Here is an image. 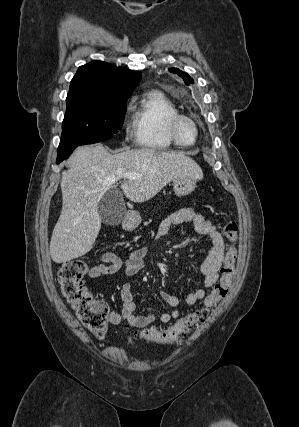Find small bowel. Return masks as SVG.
Returning <instances> with one entry per match:
<instances>
[{
	"instance_id": "small-bowel-1",
	"label": "small bowel",
	"mask_w": 299,
	"mask_h": 427,
	"mask_svg": "<svg viewBox=\"0 0 299 427\" xmlns=\"http://www.w3.org/2000/svg\"><path fill=\"white\" fill-rule=\"evenodd\" d=\"M183 223L193 224L197 233L210 238L211 248L201 266V275L204 287L211 288L218 280L219 270L225 257L223 239L213 221L192 207L181 208L163 219L158 228L157 239L167 235L174 226ZM147 256L148 248L146 247L133 250L125 261L121 260L114 253H104L98 262L89 269L88 277L95 279L119 270H124L129 276L136 275L145 267ZM205 294L206 291L204 288H198L185 297V303L188 306H193L202 300ZM160 296L173 310L160 315L159 320L167 323L177 319L180 316V312L176 308L180 305V299L166 291H162ZM120 297L122 300V309L121 311L112 310L109 312V321L111 324L117 325L127 322L132 327L142 329L156 320L157 317L154 314L135 315L136 305L133 300L130 283L126 282L122 284Z\"/></svg>"
}]
</instances>
